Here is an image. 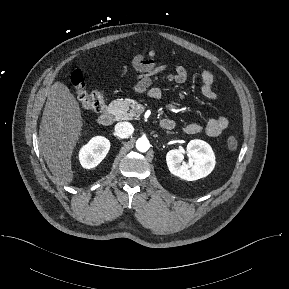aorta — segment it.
I'll list each match as a JSON object with an SVG mask.
<instances>
[{"label": "aorta", "instance_id": "762f6f07", "mask_svg": "<svg viewBox=\"0 0 289 289\" xmlns=\"http://www.w3.org/2000/svg\"><path fill=\"white\" fill-rule=\"evenodd\" d=\"M150 147L149 140L145 137H141L136 141V148L140 152H146Z\"/></svg>", "mask_w": 289, "mask_h": 289}]
</instances>
